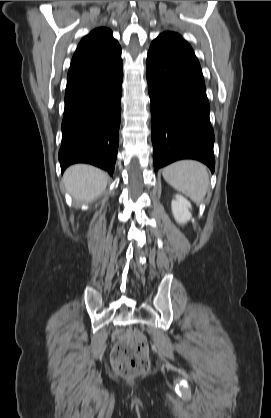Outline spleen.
Listing matches in <instances>:
<instances>
[{
	"label": "spleen",
	"mask_w": 271,
	"mask_h": 418,
	"mask_svg": "<svg viewBox=\"0 0 271 418\" xmlns=\"http://www.w3.org/2000/svg\"><path fill=\"white\" fill-rule=\"evenodd\" d=\"M165 181L195 203H201L210 182L207 168L195 160H180L162 170Z\"/></svg>",
	"instance_id": "3e777b00"
}]
</instances>
